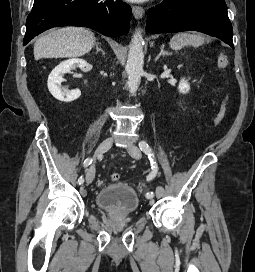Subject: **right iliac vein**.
I'll use <instances>...</instances> for the list:
<instances>
[{"label": "right iliac vein", "instance_id": "1", "mask_svg": "<svg viewBox=\"0 0 255 272\" xmlns=\"http://www.w3.org/2000/svg\"><path fill=\"white\" fill-rule=\"evenodd\" d=\"M112 144H113V139L111 137L105 139L98 146L96 154L97 155H101V154L107 152L111 148ZM94 177H95V166L92 165L89 168V170H88V172L86 174V182H87V184H90L94 180Z\"/></svg>", "mask_w": 255, "mask_h": 272}]
</instances>
